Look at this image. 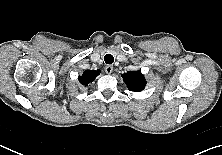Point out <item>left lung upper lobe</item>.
Segmentation results:
<instances>
[{"instance_id":"1","label":"left lung upper lobe","mask_w":222,"mask_h":155,"mask_svg":"<svg viewBox=\"0 0 222 155\" xmlns=\"http://www.w3.org/2000/svg\"><path fill=\"white\" fill-rule=\"evenodd\" d=\"M122 78L131 91L140 92L145 88L146 81L140 71H128L122 74Z\"/></svg>"}]
</instances>
